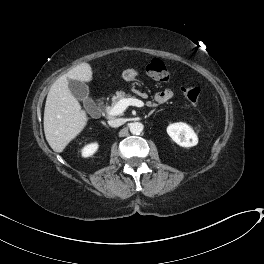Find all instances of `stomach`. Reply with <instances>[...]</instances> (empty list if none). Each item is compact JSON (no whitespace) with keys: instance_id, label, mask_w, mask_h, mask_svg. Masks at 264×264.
<instances>
[{"instance_id":"1","label":"stomach","mask_w":264,"mask_h":264,"mask_svg":"<svg viewBox=\"0 0 264 264\" xmlns=\"http://www.w3.org/2000/svg\"><path fill=\"white\" fill-rule=\"evenodd\" d=\"M138 76V72L134 69H126L122 73V78L125 81H132Z\"/></svg>"}]
</instances>
